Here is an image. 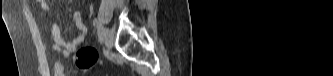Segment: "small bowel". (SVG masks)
<instances>
[{
	"instance_id": "small-bowel-1",
	"label": "small bowel",
	"mask_w": 333,
	"mask_h": 76,
	"mask_svg": "<svg viewBox=\"0 0 333 76\" xmlns=\"http://www.w3.org/2000/svg\"><path fill=\"white\" fill-rule=\"evenodd\" d=\"M41 10L45 12L51 11V5L47 0H37L36 1ZM73 21L78 29V34L70 41H66L63 38L61 28L56 23L53 22L51 25V33L53 37L52 49L58 55L62 57H68L74 53L77 48L83 44L87 36V27L82 20V12L80 10H75L73 12ZM54 75L55 76H65L63 65L60 63L54 64Z\"/></svg>"
}]
</instances>
